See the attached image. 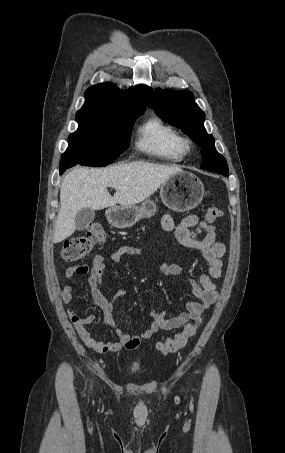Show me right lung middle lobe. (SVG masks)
Instances as JSON below:
<instances>
[{"label":"right lung middle lobe","instance_id":"right-lung-middle-lobe-1","mask_svg":"<svg viewBox=\"0 0 285 453\" xmlns=\"http://www.w3.org/2000/svg\"><path fill=\"white\" fill-rule=\"evenodd\" d=\"M143 113L80 109L76 114L79 128L69 136L60 162L71 166H107L129 147L132 126Z\"/></svg>","mask_w":285,"mask_h":453}]
</instances>
